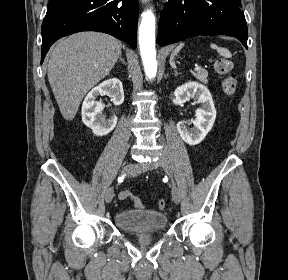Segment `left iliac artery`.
Masks as SVG:
<instances>
[{
	"label": "left iliac artery",
	"instance_id": "left-iliac-artery-1",
	"mask_svg": "<svg viewBox=\"0 0 288 280\" xmlns=\"http://www.w3.org/2000/svg\"><path fill=\"white\" fill-rule=\"evenodd\" d=\"M163 179L167 181L168 187H175V182L173 179H169L167 174L163 175Z\"/></svg>",
	"mask_w": 288,
	"mask_h": 280
}]
</instances>
